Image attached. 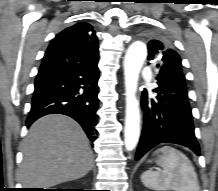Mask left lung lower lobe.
I'll return each instance as SVG.
<instances>
[{"label":"left lung lower lobe","mask_w":218,"mask_h":191,"mask_svg":"<svg viewBox=\"0 0 218 191\" xmlns=\"http://www.w3.org/2000/svg\"><path fill=\"white\" fill-rule=\"evenodd\" d=\"M157 85L152 91L145 89L142 92L144 127L136 160L162 142L184 145L199 156L188 98L183 94H166L158 80Z\"/></svg>","instance_id":"obj_1"}]
</instances>
